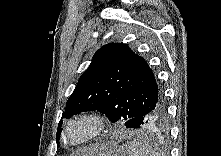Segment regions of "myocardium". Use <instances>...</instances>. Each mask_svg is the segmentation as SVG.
I'll return each instance as SVG.
<instances>
[{
  "label": "myocardium",
  "instance_id": "obj_1",
  "mask_svg": "<svg viewBox=\"0 0 221 156\" xmlns=\"http://www.w3.org/2000/svg\"><path fill=\"white\" fill-rule=\"evenodd\" d=\"M87 124L89 132L80 139L72 140L68 137L70 129L78 124ZM108 128L107 117L96 110H86L68 118L62 125L59 138L65 147L79 148L99 139Z\"/></svg>",
  "mask_w": 221,
  "mask_h": 156
}]
</instances>
